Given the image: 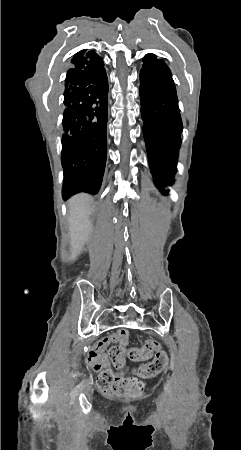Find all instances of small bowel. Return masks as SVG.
<instances>
[{
    "instance_id": "small-bowel-1",
    "label": "small bowel",
    "mask_w": 241,
    "mask_h": 450,
    "mask_svg": "<svg viewBox=\"0 0 241 450\" xmlns=\"http://www.w3.org/2000/svg\"><path fill=\"white\" fill-rule=\"evenodd\" d=\"M119 341L121 346H127L129 342V332L126 328H120L117 334H112L109 338L100 340L96 346L90 350L87 356V363L93 367L95 371L101 370L108 366L110 361L105 349L110 343Z\"/></svg>"
}]
</instances>
